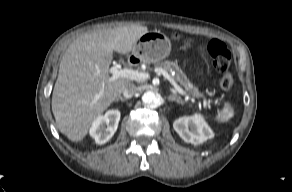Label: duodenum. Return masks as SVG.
<instances>
[{
  "mask_svg": "<svg viewBox=\"0 0 292 192\" xmlns=\"http://www.w3.org/2000/svg\"><path fill=\"white\" fill-rule=\"evenodd\" d=\"M129 63L131 64H137L139 62V59L136 56H130L128 58Z\"/></svg>",
  "mask_w": 292,
  "mask_h": 192,
  "instance_id": "duodenum-1",
  "label": "duodenum"
}]
</instances>
